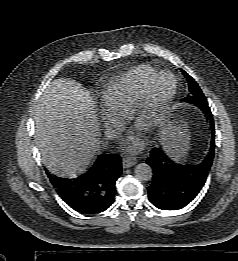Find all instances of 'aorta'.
Here are the masks:
<instances>
[{
    "label": "aorta",
    "mask_w": 238,
    "mask_h": 261,
    "mask_svg": "<svg viewBox=\"0 0 238 261\" xmlns=\"http://www.w3.org/2000/svg\"><path fill=\"white\" fill-rule=\"evenodd\" d=\"M135 176L141 181H148L152 178V168L146 163H139L135 167Z\"/></svg>",
    "instance_id": "762f6f07"
}]
</instances>
